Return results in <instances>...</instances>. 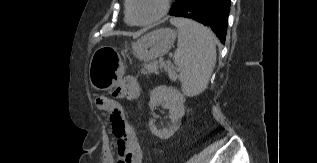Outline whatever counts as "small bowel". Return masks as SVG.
<instances>
[{
    "label": "small bowel",
    "instance_id": "obj_1",
    "mask_svg": "<svg viewBox=\"0 0 317 163\" xmlns=\"http://www.w3.org/2000/svg\"><path fill=\"white\" fill-rule=\"evenodd\" d=\"M139 92V85L132 77L117 82L114 88V95L127 101L137 99ZM111 101L116 103L114 100ZM113 136L116 140V155L107 147L103 154V163H142V150L131 126L125 125L121 133L113 130Z\"/></svg>",
    "mask_w": 317,
    "mask_h": 163
}]
</instances>
